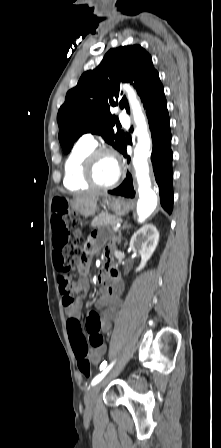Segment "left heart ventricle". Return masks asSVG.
Masks as SVG:
<instances>
[{
	"label": "left heart ventricle",
	"mask_w": 221,
	"mask_h": 448,
	"mask_svg": "<svg viewBox=\"0 0 221 448\" xmlns=\"http://www.w3.org/2000/svg\"><path fill=\"white\" fill-rule=\"evenodd\" d=\"M94 174L100 184H109L114 181L118 174L116 160L109 155L98 157L95 163Z\"/></svg>",
	"instance_id": "b2bd125f"
}]
</instances>
